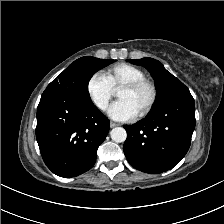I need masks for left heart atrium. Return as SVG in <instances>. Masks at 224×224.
<instances>
[{"instance_id":"1","label":"left heart atrium","mask_w":224,"mask_h":224,"mask_svg":"<svg viewBox=\"0 0 224 224\" xmlns=\"http://www.w3.org/2000/svg\"><path fill=\"white\" fill-rule=\"evenodd\" d=\"M108 115L117 121H128L135 119L138 112L129 102L118 100L109 107Z\"/></svg>"}]
</instances>
